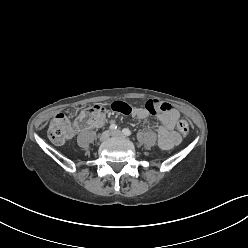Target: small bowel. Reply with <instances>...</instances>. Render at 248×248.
I'll return each instance as SVG.
<instances>
[{
    "mask_svg": "<svg viewBox=\"0 0 248 248\" xmlns=\"http://www.w3.org/2000/svg\"><path fill=\"white\" fill-rule=\"evenodd\" d=\"M131 114L140 121H144L148 117L147 111L140 107L133 108ZM178 118L179 113L175 109H171L159 117L162 125L157 129L156 134L158 145L164 150H169L180 142L179 135L173 130Z\"/></svg>",
    "mask_w": 248,
    "mask_h": 248,
    "instance_id": "c3829d8e",
    "label": "small bowel"
}]
</instances>
